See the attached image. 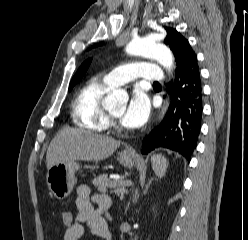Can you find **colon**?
<instances>
[{"mask_svg": "<svg viewBox=\"0 0 248 240\" xmlns=\"http://www.w3.org/2000/svg\"><path fill=\"white\" fill-rule=\"evenodd\" d=\"M60 218H61L62 225L64 227H68L73 222L74 215L72 211L64 210L61 212Z\"/></svg>", "mask_w": 248, "mask_h": 240, "instance_id": "5ec220e1", "label": "colon"}]
</instances>
